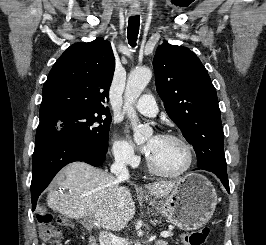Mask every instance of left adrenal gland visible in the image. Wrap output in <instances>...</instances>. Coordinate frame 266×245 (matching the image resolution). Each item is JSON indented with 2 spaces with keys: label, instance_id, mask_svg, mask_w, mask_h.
<instances>
[{
  "label": "left adrenal gland",
  "instance_id": "1",
  "mask_svg": "<svg viewBox=\"0 0 266 245\" xmlns=\"http://www.w3.org/2000/svg\"><path fill=\"white\" fill-rule=\"evenodd\" d=\"M156 245H167L166 241H156Z\"/></svg>",
  "mask_w": 266,
  "mask_h": 245
}]
</instances>
